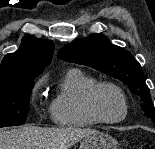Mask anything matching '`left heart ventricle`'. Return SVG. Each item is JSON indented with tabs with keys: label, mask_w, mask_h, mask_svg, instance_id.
Wrapping results in <instances>:
<instances>
[{
	"label": "left heart ventricle",
	"mask_w": 155,
	"mask_h": 149,
	"mask_svg": "<svg viewBox=\"0 0 155 149\" xmlns=\"http://www.w3.org/2000/svg\"><path fill=\"white\" fill-rule=\"evenodd\" d=\"M96 103L101 114L107 119L119 118L124 112L122 98L110 87H103L98 91Z\"/></svg>",
	"instance_id": "1"
}]
</instances>
